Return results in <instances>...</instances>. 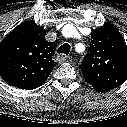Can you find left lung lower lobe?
Instances as JSON below:
<instances>
[{
  "label": "left lung lower lobe",
  "mask_w": 127,
  "mask_h": 127,
  "mask_svg": "<svg viewBox=\"0 0 127 127\" xmlns=\"http://www.w3.org/2000/svg\"><path fill=\"white\" fill-rule=\"evenodd\" d=\"M93 88L96 91H99V92H108V91L111 90V88H108V87H105V86H99V85H93Z\"/></svg>",
  "instance_id": "1"
}]
</instances>
